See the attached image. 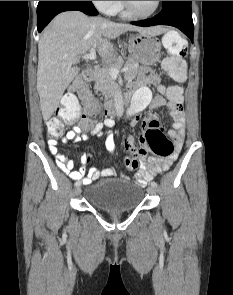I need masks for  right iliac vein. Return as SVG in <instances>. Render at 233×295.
Returning a JSON list of instances; mask_svg holds the SVG:
<instances>
[{
    "instance_id": "right-iliac-vein-1",
    "label": "right iliac vein",
    "mask_w": 233,
    "mask_h": 295,
    "mask_svg": "<svg viewBox=\"0 0 233 295\" xmlns=\"http://www.w3.org/2000/svg\"><path fill=\"white\" fill-rule=\"evenodd\" d=\"M82 191V187H81V181H77V185L75 187V194L79 195Z\"/></svg>"
}]
</instances>
